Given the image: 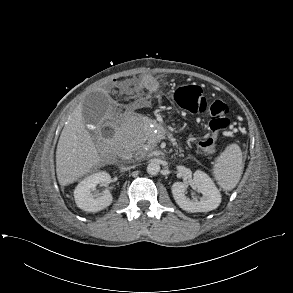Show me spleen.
I'll list each match as a JSON object with an SVG mask.
<instances>
[{
	"mask_svg": "<svg viewBox=\"0 0 293 293\" xmlns=\"http://www.w3.org/2000/svg\"><path fill=\"white\" fill-rule=\"evenodd\" d=\"M219 185L230 190L238 183L242 173V151L237 144H231L216 159L213 169Z\"/></svg>",
	"mask_w": 293,
	"mask_h": 293,
	"instance_id": "spleen-1",
	"label": "spleen"
}]
</instances>
